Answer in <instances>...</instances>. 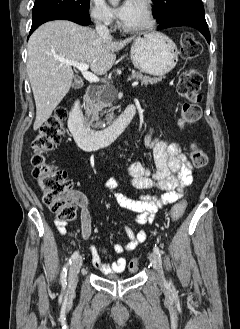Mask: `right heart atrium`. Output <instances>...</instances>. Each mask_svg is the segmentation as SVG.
<instances>
[{
	"label": "right heart atrium",
	"instance_id": "right-heart-atrium-1",
	"mask_svg": "<svg viewBox=\"0 0 240 329\" xmlns=\"http://www.w3.org/2000/svg\"><path fill=\"white\" fill-rule=\"evenodd\" d=\"M90 16L101 26H110L113 18L102 0H90Z\"/></svg>",
	"mask_w": 240,
	"mask_h": 329
}]
</instances>
